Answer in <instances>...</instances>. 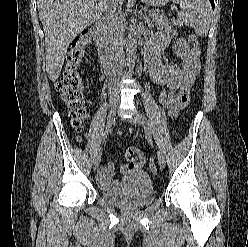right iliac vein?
<instances>
[{"instance_id":"obj_1","label":"right iliac vein","mask_w":248,"mask_h":247,"mask_svg":"<svg viewBox=\"0 0 248 247\" xmlns=\"http://www.w3.org/2000/svg\"><path fill=\"white\" fill-rule=\"evenodd\" d=\"M118 101H119V98L118 97H112L110 99V114L113 115L115 110H116V107H117V104H118ZM109 114V115H110ZM101 156H102V152L101 150H99L94 159H93V166H94V170H97L98 167H99V164H100V161H101Z\"/></svg>"}]
</instances>
